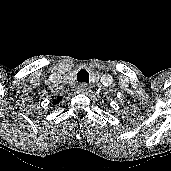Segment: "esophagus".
<instances>
[{
    "instance_id": "obj_1",
    "label": "esophagus",
    "mask_w": 171,
    "mask_h": 171,
    "mask_svg": "<svg viewBox=\"0 0 171 171\" xmlns=\"http://www.w3.org/2000/svg\"><path fill=\"white\" fill-rule=\"evenodd\" d=\"M89 90H90V87L86 83H81L78 86V92L81 94H86L89 92Z\"/></svg>"
}]
</instances>
